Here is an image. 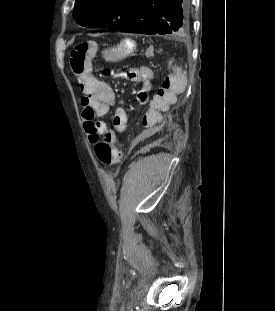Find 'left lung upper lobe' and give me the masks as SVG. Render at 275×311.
<instances>
[{
  "mask_svg": "<svg viewBox=\"0 0 275 311\" xmlns=\"http://www.w3.org/2000/svg\"><path fill=\"white\" fill-rule=\"evenodd\" d=\"M142 0H75L73 16L78 24L93 28L106 25L109 31L122 26Z\"/></svg>",
  "mask_w": 275,
  "mask_h": 311,
  "instance_id": "1",
  "label": "left lung upper lobe"
}]
</instances>
